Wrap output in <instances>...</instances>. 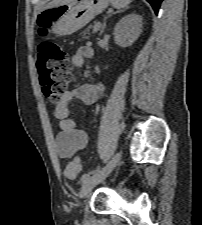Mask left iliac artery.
I'll return each mask as SVG.
<instances>
[{"mask_svg":"<svg viewBox=\"0 0 202 225\" xmlns=\"http://www.w3.org/2000/svg\"><path fill=\"white\" fill-rule=\"evenodd\" d=\"M114 150H115V147H113V149L111 150L110 154L106 157V159L104 160V163H106V162L109 160V158H110V156L113 154ZM99 172H100V168L98 167V168H96L95 170H93V171H91V172H89V173H87V174H84V175L82 176V178H81V181L84 183V182H85L86 180H88L91 176H94V175H96V174L99 173Z\"/></svg>","mask_w":202,"mask_h":225,"instance_id":"1","label":"left iliac artery"}]
</instances>
